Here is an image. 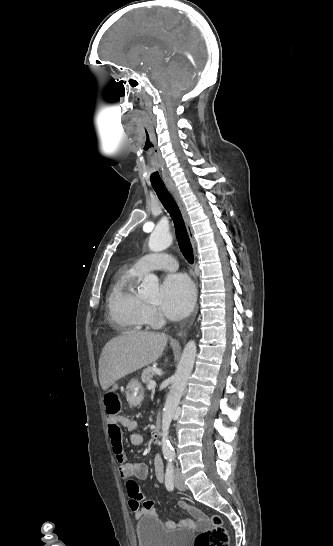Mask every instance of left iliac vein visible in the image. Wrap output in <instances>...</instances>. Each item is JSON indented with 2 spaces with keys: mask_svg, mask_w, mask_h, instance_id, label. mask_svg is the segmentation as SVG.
<instances>
[{
  "mask_svg": "<svg viewBox=\"0 0 333 546\" xmlns=\"http://www.w3.org/2000/svg\"><path fill=\"white\" fill-rule=\"evenodd\" d=\"M174 483L178 490L184 491L186 489V485L184 484V481L181 476L180 470L177 468L174 473Z\"/></svg>",
  "mask_w": 333,
  "mask_h": 546,
  "instance_id": "obj_1",
  "label": "left iliac vein"
}]
</instances>
